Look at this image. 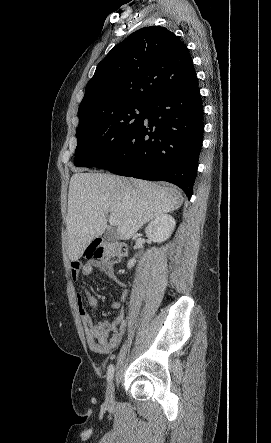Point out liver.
I'll use <instances>...</instances> for the list:
<instances>
[{"label": "liver", "instance_id": "6515ba94", "mask_svg": "<svg viewBox=\"0 0 271 443\" xmlns=\"http://www.w3.org/2000/svg\"><path fill=\"white\" fill-rule=\"evenodd\" d=\"M183 204L176 188L112 174H73L69 182L67 243L71 261L104 233L107 216L116 214L120 239H130L144 223Z\"/></svg>", "mask_w": 271, "mask_h": 443}]
</instances>
